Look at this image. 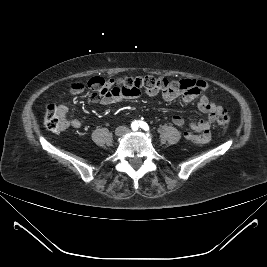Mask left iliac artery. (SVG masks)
<instances>
[{
    "mask_svg": "<svg viewBox=\"0 0 267 267\" xmlns=\"http://www.w3.org/2000/svg\"><path fill=\"white\" fill-rule=\"evenodd\" d=\"M139 126L144 129L145 131L149 130V127L147 125V123L143 122V121H139Z\"/></svg>",
    "mask_w": 267,
    "mask_h": 267,
    "instance_id": "left-iliac-artery-1",
    "label": "left iliac artery"
}]
</instances>
